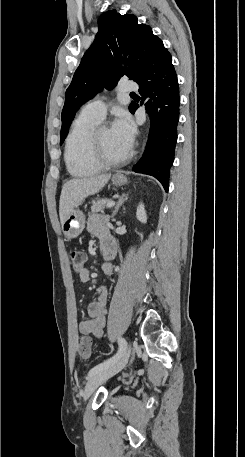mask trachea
<instances>
[{"label": "trachea", "instance_id": "3493384b", "mask_svg": "<svg viewBox=\"0 0 245 457\" xmlns=\"http://www.w3.org/2000/svg\"><path fill=\"white\" fill-rule=\"evenodd\" d=\"M131 95H136V94H134V92H131Z\"/></svg>", "mask_w": 245, "mask_h": 457}]
</instances>
